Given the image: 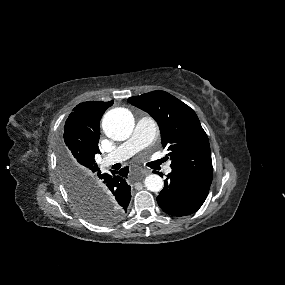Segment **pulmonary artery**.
<instances>
[{"label":"pulmonary artery","mask_w":285,"mask_h":285,"mask_svg":"<svg viewBox=\"0 0 285 285\" xmlns=\"http://www.w3.org/2000/svg\"><path fill=\"white\" fill-rule=\"evenodd\" d=\"M157 135V126L151 117L140 118L131 137L124 143L117 146L111 153L102 158V165L108 167L114 163L125 161L134 154L150 145ZM166 173L171 172V167L167 166Z\"/></svg>","instance_id":"e3ab8cb5"}]
</instances>
